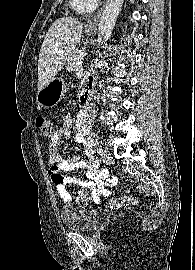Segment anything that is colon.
<instances>
[{"label":"colon","instance_id":"obj_1","mask_svg":"<svg viewBox=\"0 0 195 270\" xmlns=\"http://www.w3.org/2000/svg\"><path fill=\"white\" fill-rule=\"evenodd\" d=\"M36 124L41 130L43 135L50 137L54 133V124L50 119L43 116H39L36 119ZM138 200H139L138 196H125L110 200L109 204L110 206L113 207H121L131 203H135Z\"/></svg>","mask_w":195,"mask_h":270}]
</instances>
